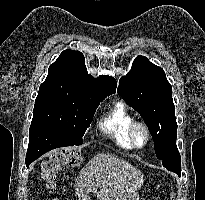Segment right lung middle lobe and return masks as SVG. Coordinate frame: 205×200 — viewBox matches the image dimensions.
<instances>
[{
  "instance_id": "dd1d6c3e",
  "label": "right lung middle lobe",
  "mask_w": 205,
  "mask_h": 200,
  "mask_svg": "<svg viewBox=\"0 0 205 200\" xmlns=\"http://www.w3.org/2000/svg\"><path fill=\"white\" fill-rule=\"evenodd\" d=\"M100 101L75 87L44 82L35 101L32 122L51 126L75 145H81Z\"/></svg>"
}]
</instances>
